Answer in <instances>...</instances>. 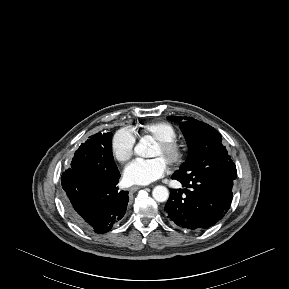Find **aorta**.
<instances>
[{
    "instance_id": "1",
    "label": "aorta",
    "mask_w": 289,
    "mask_h": 289,
    "mask_svg": "<svg viewBox=\"0 0 289 289\" xmlns=\"http://www.w3.org/2000/svg\"><path fill=\"white\" fill-rule=\"evenodd\" d=\"M149 144L146 142H139L135 146V153L141 157H147ZM153 198L158 202H165L169 198V191L165 186H156L152 191Z\"/></svg>"
}]
</instances>
